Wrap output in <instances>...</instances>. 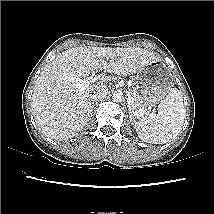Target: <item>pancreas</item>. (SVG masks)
<instances>
[{
    "label": "pancreas",
    "instance_id": "1",
    "mask_svg": "<svg viewBox=\"0 0 214 214\" xmlns=\"http://www.w3.org/2000/svg\"><path fill=\"white\" fill-rule=\"evenodd\" d=\"M130 93H131L132 97H133L134 100H135V95H136L135 88L131 89ZM130 108H131V110H132L133 112H137L138 110L142 109V107H141L140 105L136 104L135 101H134V103L130 106Z\"/></svg>",
    "mask_w": 214,
    "mask_h": 214
}]
</instances>
